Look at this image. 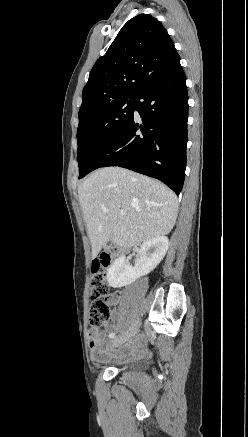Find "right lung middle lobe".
<instances>
[{"label":"right lung middle lobe","instance_id":"right-lung-middle-lobe-1","mask_svg":"<svg viewBox=\"0 0 248 437\" xmlns=\"http://www.w3.org/2000/svg\"><path fill=\"white\" fill-rule=\"evenodd\" d=\"M135 97L121 99L93 113L77 129L79 178L91 172L95 159L133 118Z\"/></svg>","mask_w":248,"mask_h":437}]
</instances>
